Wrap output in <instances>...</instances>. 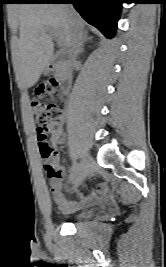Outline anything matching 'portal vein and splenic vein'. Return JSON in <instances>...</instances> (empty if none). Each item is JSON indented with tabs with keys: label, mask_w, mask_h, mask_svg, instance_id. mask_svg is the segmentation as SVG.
<instances>
[{
	"label": "portal vein and splenic vein",
	"mask_w": 166,
	"mask_h": 267,
	"mask_svg": "<svg viewBox=\"0 0 166 267\" xmlns=\"http://www.w3.org/2000/svg\"><path fill=\"white\" fill-rule=\"evenodd\" d=\"M46 31L49 34H51V35H53V36H55L57 38L59 45H62L63 44L62 37L60 36V33L56 29H54V28H47Z\"/></svg>",
	"instance_id": "obj_1"
}]
</instances>
